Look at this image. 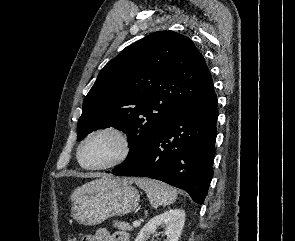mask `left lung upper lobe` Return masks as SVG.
<instances>
[{
  "label": "left lung upper lobe",
  "mask_w": 295,
  "mask_h": 241,
  "mask_svg": "<svg viewBox=\"0 0 295 241\" xmlns=\"http://www.w3.org/2000/svg\"><path fill=\"white\" fill-rule=\"evenodd\" d=\"M213 88L206 62L191 39L173 31L151 33L100 71L83 101L77 140L113 126L127 134V162L170 118Z\"/></svg>",
  "instance_id": "1"
}]
</instances>
